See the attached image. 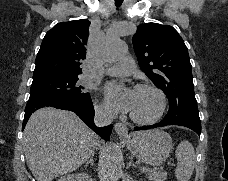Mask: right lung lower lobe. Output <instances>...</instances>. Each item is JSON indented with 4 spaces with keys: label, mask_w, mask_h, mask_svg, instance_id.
<instances>
[{
    "label": "right lung lower lobe",
    "mask_w": 228,
    "mask_h": 181,
    "mask_svg": "<svg viewBox=\"0 0 228 181\" xmlns=\"http://www.w3.org/2000/svg\"><path fill=\"white\" fill-rule=\"evenodd\" d=\"M42 107H55L63 110L74 111L83 122L94 130L99 136L108 141L112 132L113 125L96 127L94 124V107L90 103H76L57 98H38L29 99L25 108L23 127H25L30 115Z\"/></svg>",
    "instance_id": "right-lung-lower-lobe-1"
}]
</instances>
